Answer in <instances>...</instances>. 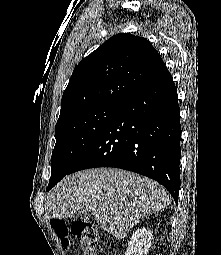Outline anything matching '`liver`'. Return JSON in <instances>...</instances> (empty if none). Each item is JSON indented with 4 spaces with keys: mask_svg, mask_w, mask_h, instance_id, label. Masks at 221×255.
<instances>
[{
    "mask_svg": "<svg viewBox=\"0 0 221 255\" xmlns=\"http://www.w3.org/2000/svg\"><path fill=\"white\" fill-rule=\"evenodd\" d=\"M170 202L166 190L147 177L94 168L66 176L48 193L45 211L49 219H64L89 210L103 230L120 240L142 218Z\"/></svg>",
    "mask_w": 221,
    "mask_h": 255,
    "instance_id": "liver-1",
    "label": "liver"
}]
</instances>
